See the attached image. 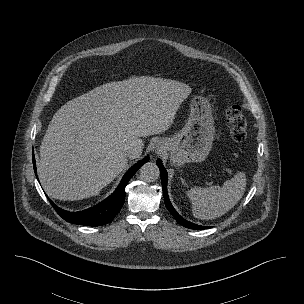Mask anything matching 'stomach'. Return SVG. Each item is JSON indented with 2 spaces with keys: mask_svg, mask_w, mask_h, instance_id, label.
<instances>
[{
  "mask_svg": "<svg viewBox=\"0 0 304 304\" xmlns=\"http://www.w3.org/2000/svg\"><path fill=\"white\" fill-rule=\"evenodd\" d=\"M215 135L211 105L207 98L196 96L190 105V115L183 129L172 138H163L171 162L182 165L205 160Z\"/></svg>",
  "mask_w": 304,
  "mask_h": 304,
  "instance_id": "obj_1",
  "label": "stomach"
}]
</instances>
